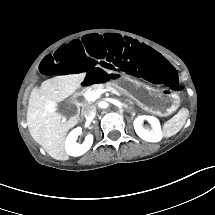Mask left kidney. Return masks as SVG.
Masks as SVG:
<instances>
[{"instance_id": "obj_1", "label": "left kidney", "mask_w": 215, "mask_h": 215, "mask_svg": "<svg viewBox=\"0 0 215 215\" xmlns=\"http://www.w3.org/2000/svg\"><path fill=\"white\" fill-rule=\"evenodd\" d=\"M149 123L152 125L154 131L147 130L142 126L143 117H139L134 121V128L139 137L148 142H159L163 138L161 124L155 116L147 117Z\"/></svg>"}]
</instances>
